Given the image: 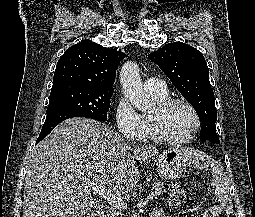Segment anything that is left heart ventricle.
I'll return each instance as SVG.
<instances>
[{
    "label": "left heart ventricle",
    "mask_w": 255,
    "mask_h": 217,
    "mask_svg": "<svg viewBox=\"0 0 255 217\" xmlns=\"http://www.w3.org/2000/svg\"><path fill=\"white\" fill-rule=\"evenodd\" d=\"M154 112L155 110L152 113ZM161 123L164 134L176 140L189 137L196 125L192 112L183 104H175L170 107L163 114Z\"/></svg>",
    "instance_id": "b2bd125f"
}]
</instances>
